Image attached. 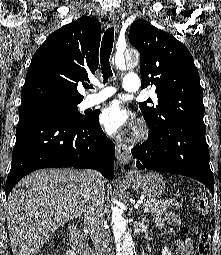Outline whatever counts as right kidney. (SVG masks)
<instances>
[{"label":"right kidney","mask_w":221,"mask_h":255,"mask_svg":"<svg viewBox=\"0 0 221 255\" xmlns=\"http://www.w3.org/2000/svg\"><path fill=\"white\" fill-rule=\"evenodd\" d=\"M66 255H76V253L73 250L66 251Z\"/></svg>","instance_id":"1"}]
</instances>
